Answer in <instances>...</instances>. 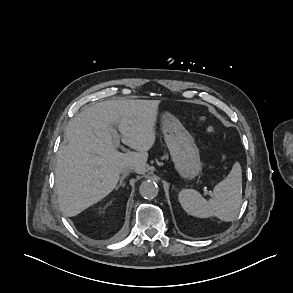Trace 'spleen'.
Returning a JSON list of instances; mask_svg holds the SVG:
<instances>
[{
  "instance_id": "spleen-1",
  "label": "spleen",
  "mask_w": 293,
  "mask_h": 293,
  "mask_svg": "<svg viewBox=\"0 0 293 293\" xmlns=\"http://www.w3.org/2000/svg\"><path fill=\"white\" fill-rule=\"evenodd\" d=\"M182 208L199 218L215 216L221 221H233L242 204V169L236 162L228 176L213 189V198L204 199L194 189H183L178 195Z\"/></svg>"
}]
</instances>
